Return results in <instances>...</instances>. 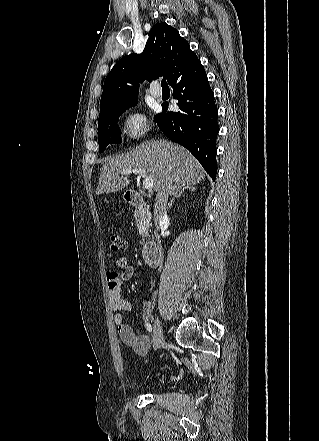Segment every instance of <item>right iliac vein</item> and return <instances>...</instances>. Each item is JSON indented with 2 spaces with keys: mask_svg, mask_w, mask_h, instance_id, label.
Returning <instances> with one entry per match:
<instances>
[{
  "mask_svg": "<svg viewBox=\"0 0 319 441\" xmlns=\"http://www.w3.org/2000/svg\"><path fill=\"white\" fill-rule=\"evenodd\" d=\"M164 344V334L161 321L157 317L154 321L153 327V347L155 350L159 349Z\"/></svg>",
  "mask_w": 319,
  "mask_h": 441,
  "instance_id": "right-iliac-vein-1",
  "label": "right iliac vein"
}]
</instances>
